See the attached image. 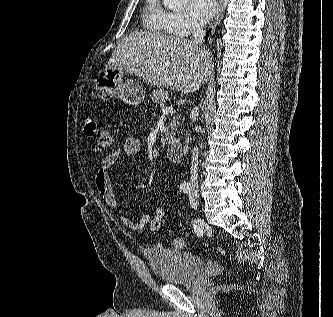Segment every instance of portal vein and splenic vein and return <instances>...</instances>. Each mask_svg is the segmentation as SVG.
<instances>
[{
    "instance_id": "portal-vein-and-splenic-vein-1",
    "label": "portal vein and splenic vein",
    "mask_w": 333,
    "mask_h": 317,
    "mask_svg": "<svg viewBox=\"0 0 333 317\" xmlns=\"http://www.w3.org/2000/svg\"><path fill=\"white\" fill-rule=\"evenodd\" d=\"M162 112H163V114H170V113H172L173 112V107L172 106H164L163 108H162Z\"/></svg>"
}]
</instances>
